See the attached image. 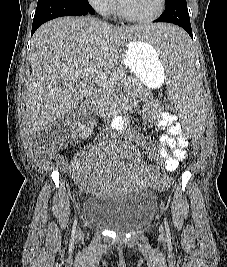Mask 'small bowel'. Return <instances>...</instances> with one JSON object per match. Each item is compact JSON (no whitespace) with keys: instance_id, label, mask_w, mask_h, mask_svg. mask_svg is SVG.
Segmentation results:
<instances>
[{"instance_id":"obj_1","label":"small bowel","mask_w":227,"mask_h":267,"mask_svg":"<svg viewBox=\"0 0 227 267\" xmlns=\"http://www.w3.org/2000/svg\"><path fill=\"white\" fill-rule=\"evenodd\" d=\"M145 119L164 130L165 133L157 139L150 137H137L136 141L149 152L155 159L161 162L162 168L173 172L178 166L181 155H185V149L189 144L188 137H184L182 125L179 123L175 113H167L161 109V104L157 100H148L144 109ZM132 124V119L128 116H117L111 122V128L115 134L125 133ZM63 169L81 186H86L90 180L91 167H86L81 159L62 163Z\"/></svg>"}]
</instances>
